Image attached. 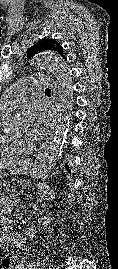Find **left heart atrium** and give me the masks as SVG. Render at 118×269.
I'll list each match as a JSON object with an SVG mask.
<instances>
[{"label": "left heart atrium", "mask_w": 118, "mask_h": 269, "mask_svg": "<svg viewBox=\"0 0 118 269\" xmlns=\"http://www.w3.org/2000/svg\"><path fill=\"white\" fill-rule=\"evenodd\" d=\"M51 113L41 101H33L26 106L24 114L25 132L32 139L43 137L49 128Z\"/></svg>", "instance_id": "1"}]
</instances>
